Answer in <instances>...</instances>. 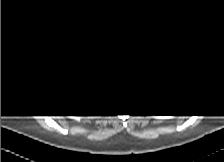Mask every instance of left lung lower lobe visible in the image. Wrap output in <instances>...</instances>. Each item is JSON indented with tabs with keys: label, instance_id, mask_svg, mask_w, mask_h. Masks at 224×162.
Instances as JSON below:
<instances>
[{
	"label": "left lung lower lobe",
	"instance_id": "obj_1",
	"mask_svg": "<svg viewBox=\"0 0 224 162\" xmlns=\"http://www.w3.org/2000/svg\"><path fill=\"white\" fill-rule=\"evenodd\" d=\"M176 108H177V105H176V106H171L170 108H167V109L163 110L162 113H166V112H168V111H173V110H175Z\"/></svg>",
	"mask_w": 224,
	"mask_h": 162
}]
</instances>
